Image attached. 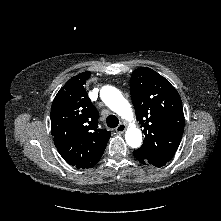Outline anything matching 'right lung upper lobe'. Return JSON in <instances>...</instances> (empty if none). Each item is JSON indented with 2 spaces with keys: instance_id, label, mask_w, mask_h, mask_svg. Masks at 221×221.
I'll return each mask as SVG.
<instances>
[{
  "instance_id": "cb5924a9",
  "label": "right lung upper lobe",
  "mask_w": 221,
  "mask_h": 221,
  "mask_svg": "<svg viewBox=\"0 0 221 221\" xmlns=\"http://www.w3.org/2000/svg\"><path fill=\"white\" fill-rule=\"evenodd\" d=\"M90 71L72 77L59 90L51 106V133L63 159L79 168H91L102 157L110 132L98 128L99 113L84 84Z\"/></svg>"
}]
</instances>
